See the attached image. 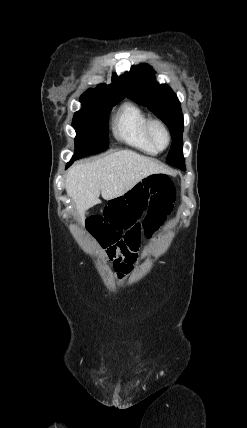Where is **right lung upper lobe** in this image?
<instances>
[{"mask_svg":"<svg viewBox=\"0 0 247 428\" xmlns=\"http://www.w3.org/2000/svg\"><path fill=\"white\" fill-rule=\"evenodd\" d=\"M112 81L110 85L99 84L95 89L89 88L81 97L96 99L107 104H117L124 98V90L120 79L113 77Z\"/></svg>","mask_w":247,"mask_h":428,"instance_id":"right-lung-upper-lobe-1","label":"right lung upper lobe"}]
</instances>
